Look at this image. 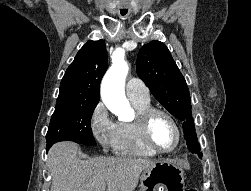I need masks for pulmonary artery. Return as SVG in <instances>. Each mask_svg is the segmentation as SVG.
Wrapping results in <instances>:
<instances>
[{
	"label": "pulmonary artery",
	"mask_w": 251,
	"mask_h": 191,
	"mask_svg": "<svg viewBox=\"0 0 251 191\" xmlns=\"http://www.w3.org/2000/svg\"><path fill=\"white\" fill-rule=\"evenodd\" d=\"M126 94L130 100L150 99L143 82L138 79H130L126 83Z\"/></svg>",
	"instance_id": "e3ab8cb5"
}]
</instances>
